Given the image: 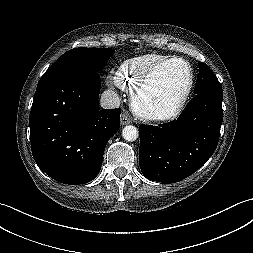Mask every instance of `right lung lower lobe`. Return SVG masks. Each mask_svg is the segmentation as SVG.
I'll return each instance as SVG.
<instances>
[{
    "mask_svg": "<svg viewBox=\"0 0 253 253\" xmlns=\"http://www.w3.org/2000/svg\"><path fill=\"white\" fill-rule=\"evenodd\" d=\"M100 78L67 73L39 81L30 113V140L38 167L54 180L84 184L99 173L121 109H99Z\"/></svg>",
    "mask_w": 253,
    "mask_h": 253,
    "instance_id": "obj_1",
    "label": "right lung lower lobe"
}]
</instances>
